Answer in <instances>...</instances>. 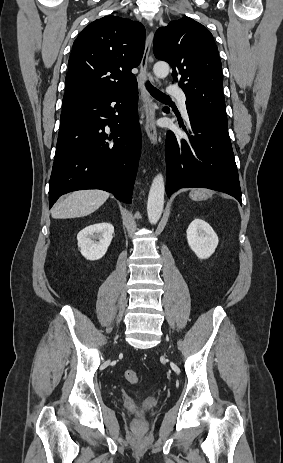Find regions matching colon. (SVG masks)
<instances>
[{
    "label": "colon",
    "mask_w": 283,
    "mask_h": 463,
    "mask_svg": "<svg viewBox=\"0 0 283 463\" xmlns=\"http://www.w3.org/2000/svg\"><path fill=\"white\" fill-rule=\"evenodd\" d=\"M124 376L129 383L135 384L139 381L138 374L134 370H126Z\"/></svg>",
    "instance_id": "5ec220e1"
}]
</instances>
